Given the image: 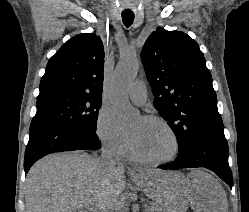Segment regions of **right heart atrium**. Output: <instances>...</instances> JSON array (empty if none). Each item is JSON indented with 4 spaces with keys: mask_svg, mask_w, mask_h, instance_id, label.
<instances>
[{
    "mask_svg": "<svg viewBox=\"0 0 249 212\" xmlns=\"http://www.w3.org/2000/svg\"><path fill=\"white\" fill-rule=\"evenodd\" d=\"M94 133L97 141L110 157L121 160L128 153L126 136L110 107L101 106L98 110Z\"/></svg>",
    "mask_w": 249,
    "mask_h": 212,
    "instance_id": "1",
    "label": "right heart atrium"
}]
</instances>
